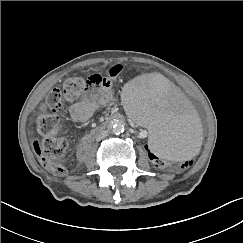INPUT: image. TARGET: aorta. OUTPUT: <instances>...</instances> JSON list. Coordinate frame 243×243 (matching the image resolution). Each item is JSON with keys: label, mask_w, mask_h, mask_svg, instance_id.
<instances>
[{"label": "aorta", "mask_w": 243, "mask_h": 243, "mask_svg": "<svg viewBox=\"0 0 243 243\" xmlns=\"http://www.w3.org/2000/svg\"><path fill=\"white\" fill-rule=\"evenodd\" d=\"M109 129L113 134H120L124 131V125L118 120H113L109 125Z\"/></svg>", "instance_id": "1"}]
</instances>
